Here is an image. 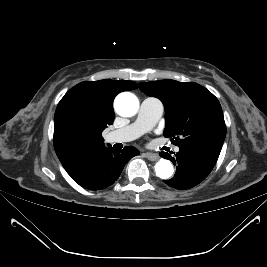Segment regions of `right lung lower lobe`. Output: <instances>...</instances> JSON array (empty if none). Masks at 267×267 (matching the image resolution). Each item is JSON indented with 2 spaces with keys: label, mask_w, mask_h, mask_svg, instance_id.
Masks as SVG:
<instances>
[{
  "label": "right lung lower lobe",
  "mask_w": 267,
  "mask_h": 267,
  "mask_svg": "<svg viewBox=\"0 0 267 267\" xmlns=\"http://www.w3.org/2000/svg\"><path fill=\"white\" fill-rule=\"evenodd\" d=\"M139 154L132 146L115 150L102 144L81 152L63 166L80 186L89 190H100L112 185L128 160Z\"/></svg>",
  "instance_id": "right-lung-lower-lobe-1"
}]
</instances>
